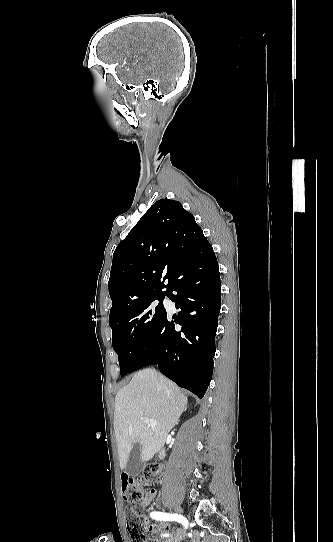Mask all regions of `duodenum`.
Listing matches in <instances>:
<instances>
[{
  "mask_svg": "<svg viewBox=\"0 0 333 542\" xmlns=\"http://www.w3.org/2000/svg\"><path fill=\"white\" fill-rule=\"evenodd\" d=\"M163 456H164V451H163V450H160V451L158 452V457L161 459V458H163Z\"/></svg>",
  "mask_w": 333,
  "mask_h": 542,
  "instance_id": "1",
  "label": "duodenum"
}]
</instances>
